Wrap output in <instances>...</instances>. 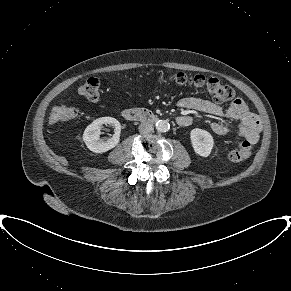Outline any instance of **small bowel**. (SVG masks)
Instances as JSON below:
<instances>
[{"mask_svg": "<svg viewBox=\"0 0 291 291\" xmlns=\"http://www.w3.org/2000/svg\"><path fill=\"white\" fill-rule=\"evenodd\" d=\"M178 105L181 108L196 110L213 116L215 120L211 123V129L218 135L227 133L226 120H235L240 122L239 132L248 142L254 144L259 139L262 127L260 119L249 110L246 103L240 98H236L227 105H218L206 99L186 97L179 100ZM191 122L192 118L188 115L177 117V123L180 126H188Z\"/></svg>", "mask_w": 291, "mask_h": 291, "instance_id": "obj_1", "label": "small bowel"}]
</instances>
